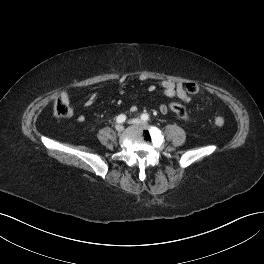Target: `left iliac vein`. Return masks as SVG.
Listing matches in <instances>:
<instances>
[{
  "label": "left iliac vein",
  "mask_w": 264,
  "mask_h": 264,
  "mask_svg": "<svg viewBox=\"0 0 264 264\" xmlns=\"http://www.w3.org/2000/svg\"><path fill=\"white\" fill-rule=\"evenodd\" d=\"M130 123H132V124H142V125L146 124L144 121H142L141 119H138V118H134V119L130 120Z\"/></svg>",
  "instance_id": "left-iliac-vein-1"
}]
</instances>
